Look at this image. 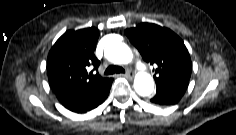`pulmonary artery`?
Here are the masks:
<instances>
[{"label":"pulmonary artery","mask_w":236,"mask_h":135,"mask_svg":"<svg viewBox=\"0 0 236 135\" xmlns=\"http://www.w3.org/2000/svg\"><path fill=\"white\" fill-rule=\"evenodd\" d=\"M134 63H135V67L137 70H139V71L146 70L145 64L140 59H135Z\"/></svg>","instance_id":"obj_1"}]
</instances>
